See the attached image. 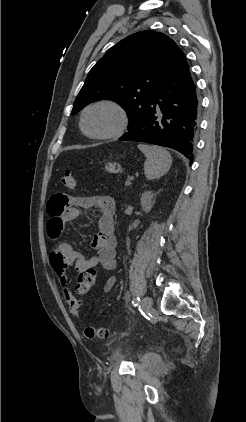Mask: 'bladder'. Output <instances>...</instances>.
Returning a JSON list of instances; mask_svg holds the SVG:
<instances>
[{
    "label": "bladder",
    "mask_w": 246,
    "mask_h": 422,
    "mask_svg": "<svg viewBox=\"0 0 246 422\" xmlns=\"http://www.w3.org/2000/svg\"><path fill=\"white\" fill-rule=\"evenodd\" d=\"M144 359L152 365H158L161 363V357L155 353L147 354Z\"/></svg>",
    "instance_id": "1"
}]
</instances>
